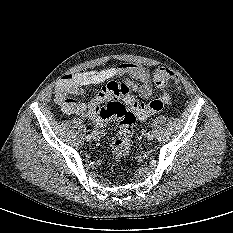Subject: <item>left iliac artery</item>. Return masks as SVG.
Returning <instances> with one entry per match:
<instances>
[{"label": "left iliac artery", "instance_id": "left-iliac-artery-1", "mask_svg": "<svg viewBox=\"0 0 233 233\" xmlns=\"http://www.w3.org/2000/svg\"><path fill=\"white\" fill-rule=\"evenodd\" d=\"M147 137H148L149 140H152L153 137H154L153 132H152V131H149L148 134H147Z\"/></svg>", "mask_w": 233, "mask_h": 233}]
</instances>
